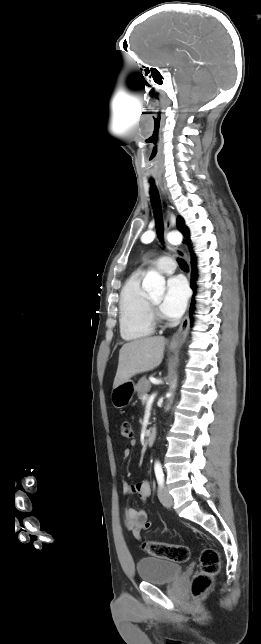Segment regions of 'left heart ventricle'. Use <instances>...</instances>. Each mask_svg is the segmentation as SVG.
<instances>
[{
	"label": "left heart ventricle",
	"instance_id": "obj_1",
	"mask_svg": "<svg viewBox=\"0 0 261 644\" xmlns=\"http://www.w3.org/2000/svg\"><path fill=\"white\" fill-rule=\"evenodd\" d=\"M151 299L157 306H159V304L161 303V300H162V296H160V295L159 296H154Z\"/></svg>",
	"mask_w": 261,
	"mask_h": 644
}]
</instances>
